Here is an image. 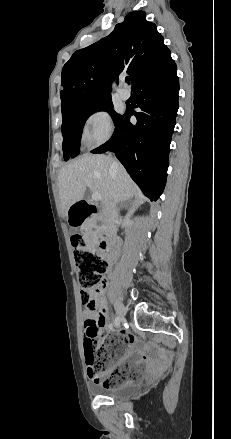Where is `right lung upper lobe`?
<instances>
[{
  "mask_svg": "<svg viewBox=\"0 0 231 439\" xmlns=\"http://www.w3.org/2000/svg\"><path fill=\"white\" fill-rule=\"evenodd\" d=\"M163 41L145 12H130L109 36L77 50L64 65L62 112L83 102L111 98V82L122 71L131 76L133 87L170 57Z\"/></svg>",
  "mask_w": 231,
  "mask_h": 439,
  "instance_id": "obj_1",
  "label": "right lung upper lobe"
}]
</instances>
